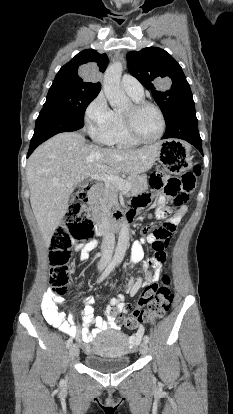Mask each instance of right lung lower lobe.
Returning <instances> with one entry per match:
<instances>
[{
  "mask_svg": "<svg viewBox=\"0 0 233 414\" xmlns=\"http://www.w3.org/2000/svg\"><path fill=\"white\" fill-rule=\"evenodd\" d=\"M83 126V119L52 108H43L36 120L35 131L30 142L28 156L38 145L50 137L61 132L76 131Z\"/></svg>",
  "mask_w": 233,
  "mask_h": 414,
  "instance_id": "98d812e1",
  "label": "right lung lower lobe"
}]
</instances>
